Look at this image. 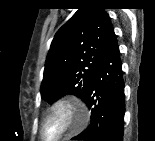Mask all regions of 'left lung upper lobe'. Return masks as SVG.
Masks as SVG:
<instances>
[{"label": "left lung upper lobe", "instance_id": "5c2ea615", "mask_svg": "<svg viewBox=\"0 0 155 141\" xmlns=\"http://www.w3.org/2000/svg\"><path fill=\"white\" fill-rule=\"evenodd\" d=\"M55 34L48 52L41 97L49 104L71 93L83 99L100 59L115 36L101 0H83Z\"/></svg>", "mask_w": 155, "mask_h": 141}]
</instances>
